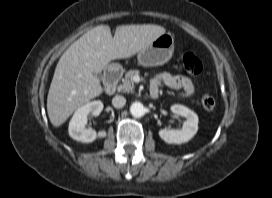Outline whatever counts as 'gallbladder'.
Segmentation results:
<instances>
[{"label": "gallbladder", "mask_w": 272, "mask_h": 198, "mask_svg": "<svg viewBox=\"0 0 272 198\" xmlns=\"http://www.w3.org/2000/svg\"><path fill=\"white\" fill-rule=\"evenodd\" d=\"M96 76H97L98 79H101V78H102V75L99 74V73H97Z\"/></svg>", "instance_id": "gallbladder-1"}]
</instances>
